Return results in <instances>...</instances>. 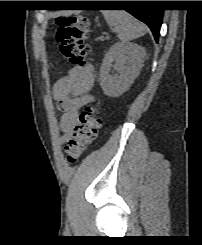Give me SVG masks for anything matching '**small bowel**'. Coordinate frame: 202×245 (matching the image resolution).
Segmentation results:
<instances>
[{"label": "small bowel", "mask_w": 202, "mask_h": 245, "mask_svg": "<svg viewBox=\"0 0 202 245\" xmlns=\"http://www.w3.org/2000/svg\"><path fill=\"white\" fill-rule=\"evenodd\" d=\"M94 83L93 67H72L68 74L60 78L53 87V95L63 112L60 127L61 142L70 140L80 123L81 110L94 102L90 91Z\"/></svg>", "instance_id": "obj_1"}]
</instances>
